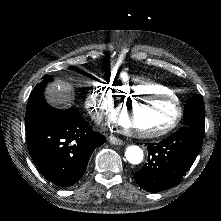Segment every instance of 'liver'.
<instances>
[{"label": "liver", "mask_w": 221, "mask_h": 221, "mask_svg": "<svg viewBox=\"0 0 221 221\" xmlns=\"http://www.w3.org/2000/svg\"><path fill=\"white\" fill-rule=\"evenodd\" d=\"M73 91L70 83L55 79L52 84H49L46 89L48 100L54 104H60L67 101L66 95Z\"/></svg>", "instance_id": "obj_1"}]
</instances>
